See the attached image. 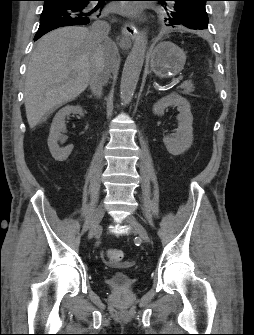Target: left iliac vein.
Here are the masks:
<instances>
[{"label":"left iliac vein","instance_id":"obj_1","mask_svg":"<svg viewBox=\"0 0 254 335\" xmlns=\"http://www.w3.org/2000/svg\"><path fill=\"white\" fill-rule=\"evenodd\" d=\"M125 222L131 226V228L133 230H135L139 237L145 242V243H148L149 242V235L146 231V229L144 228V226L138 222V220L132 216V215H129L125 218Z\"/></svg>","mask_w":254,"mask_h":335}]
</instances>
